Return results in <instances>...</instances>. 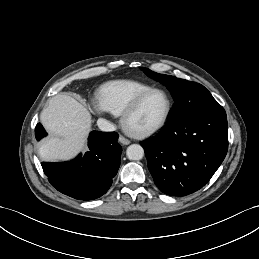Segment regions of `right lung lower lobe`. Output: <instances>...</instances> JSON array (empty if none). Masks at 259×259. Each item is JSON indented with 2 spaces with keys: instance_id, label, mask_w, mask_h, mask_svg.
<instances>
[{
  "instance_id": "right-lung-lower-lobe-1",
  "label": "right lung lower lobe",
  "mask_w": 259,
  "mask_h": 259,
  "mask_svg": "<svg viewBox=\"0 0 259 259\" xmlns=\"http://www.w3.org/2000/svg\"><path fill=\"white\" fill-rule=\"evenodd\" d=\"M47 133L38 123L35 136L40 140ZM116 132L92 131L89 152L64 163L42 162L51 185L63 194L79 200H93L107 192L120 166L121 146Z\"/></svg>"
}]
</instances>
